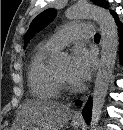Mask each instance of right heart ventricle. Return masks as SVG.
<instances>
[{
  "label": "right heart ventricle",
  "mask_w": 123,
  "mask_h": 130,
  "mask_svg": "<svg viewBox=\"0 0 123 130\" xmlns=\"http://www.w3.org/2000/svg\"><path fill=\"white\" fill-rule=\"evenodd\" d=\"M57 50L48 43L40 44L28 67V82L32 94L42 100L56 99L60 95V87L55 76V69L50 63L51 56Z\"/></svg>",
  "instance_id": "obj_1"
}]
</instances>
